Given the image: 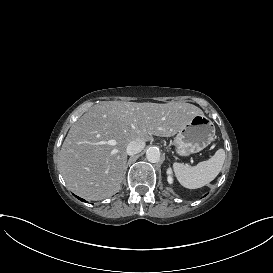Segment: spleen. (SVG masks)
<instances>
[{
	"instance_id": "obj_1",
	"label": "spleen",
	"mask_w": 273,
	"mask_h": 273,
	"mask_svg": "<svg viewBox=\"0 0 273 273\" xmlns=\"http://www.w3.org/2000/svg\"><path fill=\"white\" fill-rule=\"evenodd\" d=\"M225 161V151L219 149L209 160L188 166L174 163L175 175L180 184L188 189H197L213 181L222 169Z\"/></svg>"
}]
</instances>
